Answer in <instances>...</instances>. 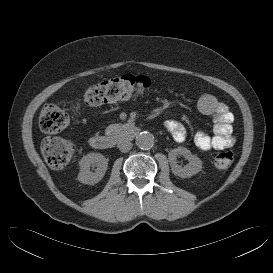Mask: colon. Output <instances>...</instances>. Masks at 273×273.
Instances as JSON below:
<instances>
[{
  "label": "colon",
  "mask_w": 273,
  "mask_h": 273,
  "mask_svg": "<svg viewBox=\"0 0 273 273\" xmlns=\"http://www.w3.org/2000/svg\"><path fill=\"white\" fill-rule=\"evenodd\" d=\"M151 81L145 76L126 75L109 78L89 86L83 93L81 102L89 106H100L107 103L127 100L140 94L151 86ZM69 123L66 109L59 104H48L43 107L39 124L43 132L54 134L63 131ZM42 152L51 168L66 166L76 154L73 141L60 137H50L44 140ZM234 161L231 151H222L215 157L214 164L219 169L229 168Z\"/></svg>",
  "instance_id": "1"
}]
</instances>
